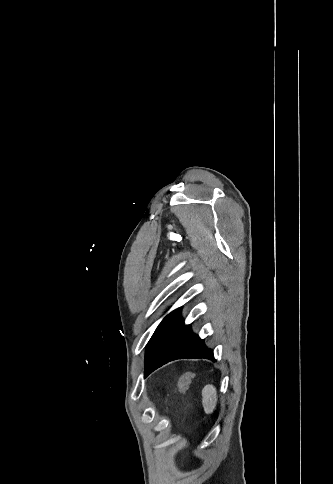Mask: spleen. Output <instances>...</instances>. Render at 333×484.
I'll return each instance as SVG.
<instances>
[{
  "label": "spleen",
  "mask_w": 333,
  "mask_h": 484,
  "mask_svg": "<svg viewBox=\"0 0 333 484\" xmlns=\"http://www.w3.org/2000/svg\"><path fill=\"white\" fill-rule=\"evenodd\" d=\"M202 404L206 413H213L217 403V392L213 385H206L202 390Z\"/></svg>",
  "instance_id": "1"
}]
</instances>
